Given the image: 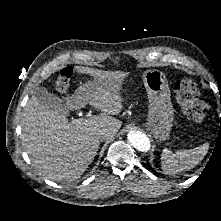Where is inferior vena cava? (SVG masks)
<instances>
[{"label":"inferior vena cava","mask_w":221,"mask_h":221,"mask_svg":"<svg viewBox=\"0 0 221 221\" xmlns=\"http://www.w3.org/2000/svg\"><path fill=\"white\" fill-rule=\"evenodd\" d=\"M100 135L102 138H107L109 136V134L105 131H102Z\"/></svg>","instance_id":"obj_1"}]
</instances>
